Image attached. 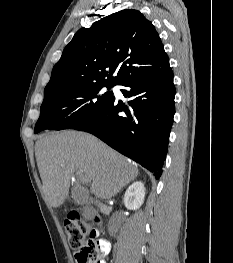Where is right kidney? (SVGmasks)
<instances>
[{"label":"right kidney","instance_id":"obj_1","mask_svg":"<svg viewBox=\"0 0 233 263\" xmlns=\"http://www.w3.org/2000/svg\"><path fill=\"white\" fill-rule=\"evenodd\" d=\"M145 187L141 181L134 182L125 192L124 205L129 210H137L144 202Z\"/></svg>","mask_w":233,"mask_h":263}]
</instances>
